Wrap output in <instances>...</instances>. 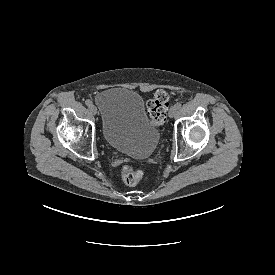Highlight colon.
<instances>
[{
	"mask_svg": "<svg viewBox=\"0 0 275 275\" xmlns=\"http://www.w3.org/2000/svg\"><path fill=\"white\" fill-rule=\"evenodd\" d=\"M168 105L169 95L167 92L164 90L155 92L147 103V111L152 125L159 126L166 121ZM120 177L124 184L136 186L143 178V171L132 164H127L121 168Z\"/></svg>",
	"mask_w": 275,
	"mask_h": 275,
	"instance_id": "1",
	"label": "colon"
}]
</instances>
